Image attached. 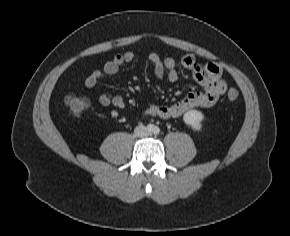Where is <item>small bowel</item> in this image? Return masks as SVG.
Listing matches in <instances>:
<instances>
[{
	"mask_svg": "<svg viewBox=\"0 0 290 236\" xmlns=\"http://www.w3.org/2000/svg\"><path fill=\"white\" fill-rule=\"evenodd\" d=\"M154 67V73L158 78H166L175 83L179 80L178 64L192 72L194 80L202 90L188 93L182 100L170 105H152L144 111L145 116L159 118H177L194 108H210L214 106L226 89V82L222 78L220 66L214 63L199 64L196 58L190 54L180 57L177 62L173 58L162 59L159 55L151 53L148 57ZM135 60V54L131 51L116 54L107 61L102 69L92 71L85 79V86L93 88L106 76L118 73L121 66ZM99 102L103 106H114L120 109L125 107L122 97L111 94H101Z\"/></svg>",
	"mask_w": 290,
	"mask_h": 236,
	"instance_id": "1",
	"label": "small bowel"
}]
</instances>
